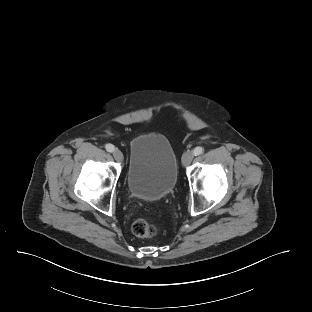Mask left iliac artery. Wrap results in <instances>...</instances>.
I'll use <instances>...</instances> for the list:
<instances>
[{
	"mask_svg": "<svg viewBox=\"0 0 312 312\" xmlns=\"http://www.w3.org/2000/svg\"><path fill=\"white\" fill-rule=\"evenodd\" d=\"M203 152H204V148L199 146L194 149L193 154L197 156V155L203 154Z\"/></svg>",
	"mask_w": 312,
	"mask_h": 312,
	"instance_id": "obj_1",
	"label": "left iliac artery"
}]
</instances>
